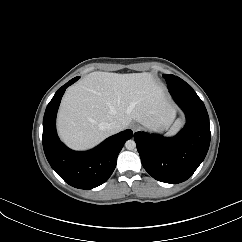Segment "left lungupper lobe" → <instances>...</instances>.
I'll use <instances>...</instances> for the list:
<instances>
[{"label":"left lung upper lobe","instance_id":"1","mask_svg":"<svg viewBox=\"0 0 242 242\" xmlns=\"http://www.w3.org/2000/svg\"><path fill=\"white\" fill-rule=\"evenodd\" d=\"M163 77L165 78L169 89H175V90L192 89L190 85H188L184 80H182L177 76H174L171 74H164Z\"/></svg>","mask_w":242,"mask_h":242}]
</instances>
